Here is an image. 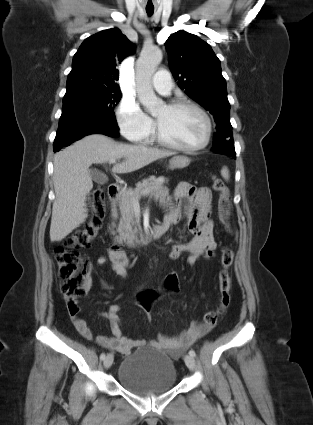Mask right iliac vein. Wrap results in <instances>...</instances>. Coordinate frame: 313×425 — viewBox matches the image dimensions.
<instances>
[{"instance_id":"63e3f726","label":"right iliac vein","mask_w":313,"mask_h":425,"mask_svg":"<svg viewBox=\"0 0 313 425\" xmlns=\"http://www.w3.org/2000/svg\"><path fill=\"white\" fill-rule=\"evenodd\" d=\"M112 363H113V355L109 353L103 361L104 367L108 369L111 367Z\"/></svg>"}]
</instances>
